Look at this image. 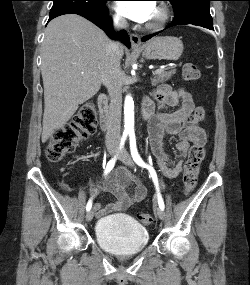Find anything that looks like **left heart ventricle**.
<instances>
[{"label": "left heart ventricle", "mask_w": 250, "mask_h": 285, "mask_svg": "<svg viewBox=\"0 0 250 285\" xmlns=\"http://www.w3.org/2000/svg\"><path fill=\"white\" fill-rule=\"evenodd\" d=\"M157 15H158V11H157V9L155 7L149 22L154 21L157 18Z\"/></svg>", "instance_id": "b2bd125f"}]
</instances>
